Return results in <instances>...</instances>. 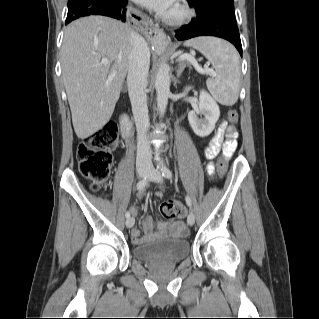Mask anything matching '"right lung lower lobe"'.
Returning a JSON list of instances; mask_svg holds the SVG:
<instances>
[{"label":"right lung lower lobe","instance_id":"right-lung-lower-lobe-1","mask_svg":"<svg viewBox=\"0 0 319 319\" xmlns=\"http://www.w3.org/2000/svg\"><path fill=\"white\" fill-rule=\"evenodd\" d=\"M127 0L115 1L112 6L88 12V15H104L125 21ZM67 24V23H65Z\"/></svg>","mask_w":319,"mask_h":319}]
</instances>
